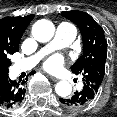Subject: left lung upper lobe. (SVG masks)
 <instances>
[{
    "label": "left lung upper lobe",
    "instance_id": "1",
    "mask_svg": "<svg viewBox=\"0 0 117 117\" xmlns=\"http://www.w3.org/2000/svg\"><path fill=\"white\" fill-rule=\"evenodd\" d=\"M62 15L79 26L83 40V55L71 66V70L76 75L82 74L84 82L98 92L105 75L107 58L104 30L85 12L63 11Z\"/></svg>",
    "mask_w": 117,
    "mask_h": 117
}]
</instances>
